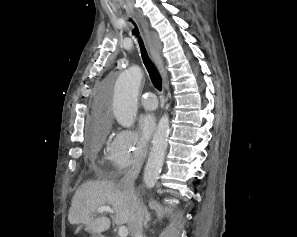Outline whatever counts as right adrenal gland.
I'll return each mask as SVG.
<instances>
[{"instance_id": "obj_1", "label": "right adrenal gland", "mask_w": 297, "mask_h": 237, "mask_svg": "<svg viewBox=\"0 0 297 237\" xmlns=\"http://www.w3.org/2000/svg\"><path fill=\"white\" fill-rule=\"evenodd\" d=\"M150 221H151V216L148 212H146L145 220H144V228L148 227V222H150Z\"/></svg>"}]
</instances>
